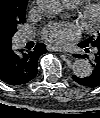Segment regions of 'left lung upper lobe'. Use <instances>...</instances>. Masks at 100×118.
I'll use <instances>...</instances> for the list:
<instances>
[{
	"mask_svg": "<svg viewBox=\"0 0 100 118\" xmlns=\"http://www.w3.org/2000/svg\"><path fill=\"white\" fill-rule=\"evenodd\" d=\"M80 44L88 45V46H96L100 44V32H98L97 36L89 37L88 39L82 41Z\"/></svg>",
	"mask_w": 100,
	"mask_h": 118,
	"instance_id": "1",
	"label": "left lung upper lobe"
}]
</instances>
